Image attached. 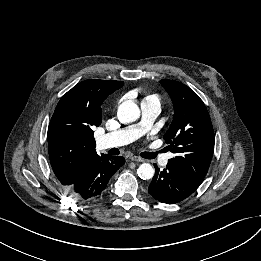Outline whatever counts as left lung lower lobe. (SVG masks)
Segmentation results:
<instances>
[{
	"label": "left lung lower lobe",
	"mask_w": 261,
	"mask_h": 261,
	"mask_svg": "<svg viewBox=\"0 0 261 261\" xmlns=\"http://www.w3.org/2000/svg\"><path fill=\"white\" fill-rule=\"evenodd\" d=\"M155 166V175L149 185V193L162 203L174 204L183 201L195 192L196 187L189 184L171 165L160 171Z\"/></svg>",
	"instance_id": "0a47b994"
}]
</instances>
